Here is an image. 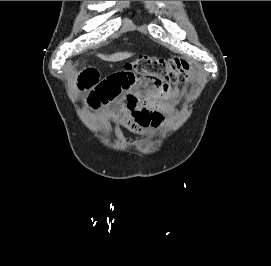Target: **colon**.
Returning a JSON list of instances; mask_svg holds the SVG:
<instances>
[{"label": "colon", "mask_w": 271, "mask_h": 266, "mask_svg": "<svg viewBox=\"0 0 271 266\" xmlns=\"http://www.w3.org/2000/svg\"><path fill=\"white\" fill-rule=\"evenodd\" d=\"M141 75L154 76L162 81H186L190 77L187 66L157 57L143 56L127 65Z\"/></svg>", "instance_id": "obj_1"}]
</instances>
